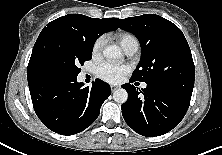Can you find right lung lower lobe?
Returning <instances> with one entry per match:
<instances>
[{
    "label": "right lung lower lobe",
    "instance_id": "right-lung-lower-lobe-1",
    "mask_svg": "<svg viewBox=\"0 0 222 155\" xmlns=\"http://www.w3.org/2000/svg\"><path fill=\"white\" fill-rule=\"evenodd\" d=\"M76 78L54 79L46 95L31 94L34 110L42 123L61 135H73L86 129L100 113L111 89L101 80L83 87Z\"/></svg>",
    "mask_w": 222,
    "mask_h": 155
}]
</instances>
